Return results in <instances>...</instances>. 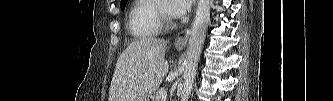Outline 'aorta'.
<instances>
[{
	"mask_svg": "<svg viewBox=\"0 0 333 101\" xmlns=\"http://www.w3.org/2000/svg\"><path fill=\"white\" fill-rule=\"evenodd\" d=\"M210 0H199L195 19L192 25L188 43V49L184 61V84L181 93V101H188L193 87L197 65L202 46L205 40L208 23L210 20Z\"/></svg>",
	"mask_w": 333,
	"mask_h": 101,
	"instance_id": "aorta-1",
	"label": "aorta"
}]
</instances>
